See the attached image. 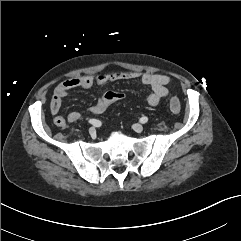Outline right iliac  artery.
I'll return each instance as SVG.
<instances>
[{
    "label": "right iliac artery",
    "instance_id": "obj_1",
    "mask_svg": "<svg viewBox=\"0 0 241 241\" xmlns=\"http://www.w3.org/2000/svg\"><path fill=\"white\" fill-rule=\"evenodd\" d=\"M89 123H91L92 125L99 127L101 125V122L99 120L96 119H90Z\"/></svg>",
    "mask_w": 241,
    "mask_h": 241
}]
</instances>
